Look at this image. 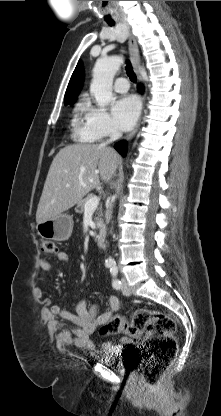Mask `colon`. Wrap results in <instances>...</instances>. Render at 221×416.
Returning a JSON list of instances; mask_svg holds the SVG:
<instances>
[{"instance_id":"1","label":"colon","mask_w":221,"mask_h":416,"mask_svg":"<svg viewBox=\"0 0 221 416\" xmlns=\"http://www.w3.org/2000/svg\"><path fill=\"white\" fill-rule=\"evenodd\" d=\"M56 251L55 241H43L44 254L51 255ZM100 332L105 336L144 334L140 351V374L146 384L157 383L177 353L176 322L171 315L162 311L142 308L136 310L129 319L113 316L100 327Z\"/></svg>"}]
</instances>
